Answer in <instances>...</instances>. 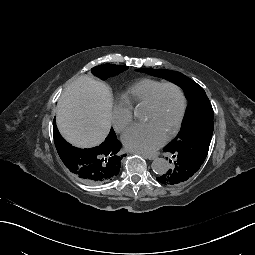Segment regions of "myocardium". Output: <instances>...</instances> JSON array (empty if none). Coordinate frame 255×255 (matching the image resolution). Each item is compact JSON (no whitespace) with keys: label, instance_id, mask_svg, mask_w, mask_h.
Segmentation results:
<instances>
[{"label":"myocardium","instance_id":"obj_1","mask_svg":"<svg viewBox=\"0 0 255 255\" xmlns=\"http://www.w3.org/2000/svg\"><path fill=\"white\" fill-rule=\"evenodd\" d=\"M165 87L174 88L177 91L179 98H180V108H179L178 116L176 119L175 127L172 130V132L166 137V140L169 141V140L173 139L178 134V132L181 128L185 110H186V98H185L182 88L174 82H170V81L162 82L159 86H157L154 89V91L152 92V94L145 106L150 109L153 108L156 105L157 98H158L160 91Z\"/></svg>","mask_w":255,"mask_h":255}]
</instances>
